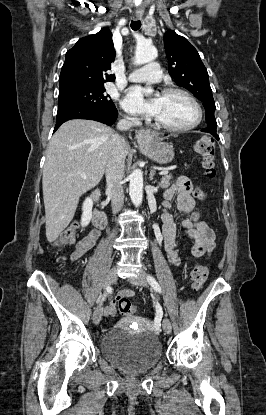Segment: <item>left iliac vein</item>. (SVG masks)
Instances as JSON below:
<instances>
[{"instance_id": "4c4485c4", "label": "left iliac vein", "mask_w": 266, "mask_h": 415, "mask_svg": "<svg viewBox=\"0 0 266 415\" xmlns=\"http://www.w3.org/2000/svg\"><path fill=\"white\" fill-rule=\"evenodd\" d=\"M131 283L137 286H146L147 285V277L144 271L138 273L137 276L130 279ZM163 330L166 334H170L172 331V326L170 320L165 317L162 322Z\"/></svg>"}]
</instances>
